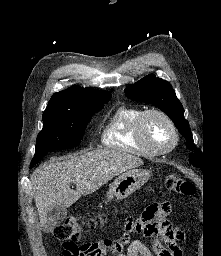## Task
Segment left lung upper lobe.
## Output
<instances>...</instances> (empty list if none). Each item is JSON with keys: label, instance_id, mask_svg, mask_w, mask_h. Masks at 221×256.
Wrapping results in <instances>:
<instances>
[{"label": "left lung upper lobe", "instance_id": "1", "mask_svg": "<svg viewBox=\"0 0 221 256\" xmlns=\"http://www.w3.org/2000/svg\"><path fill=\"white\" fill-rule=\"evenodd\" d=\"M125 94L132 100L151 103L165 112L174 122L179 132L186 137V146L193 150V153L189 156L190 163L202 168L203 154L193 143L189 123L184 118V109L169 82L151 74L127 87Z\"/></svg>", "mask_w": 221, "mask_h": 256}]
</instances>
